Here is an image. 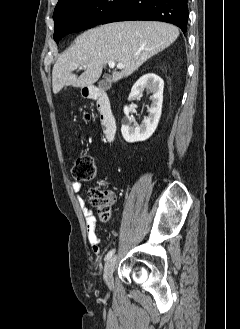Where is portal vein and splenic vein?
Segmentation results:
<instances>
[{
	"instance_id": "18ae733b",
	"label": "portal vein and splenic vein",
	"mask_w": 240,
	"mask_h": 329,
	"mask_svg": "<svg viewBox=\"0 0 240 329\" xmlns=\"http://www.w3.org/2000/svg\"><path fill=\"white\" fill-rule=\"evenodd\" d=\"M108 65H109L110 68H114L115 67V62L110 61V62H108ZM85 67H86L85 65L80 66V68H85ZM117 68L122 69V68H124V65L122 63H120V64L117 65Z\"/></svg>"
}]
</instances>
